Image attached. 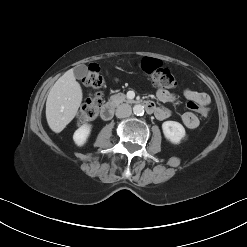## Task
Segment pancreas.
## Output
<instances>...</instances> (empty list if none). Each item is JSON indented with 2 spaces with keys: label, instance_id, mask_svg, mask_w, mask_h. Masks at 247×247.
I'll return each mask as SVG.
<instances>
[{
  "label": "pancreas",
  "instance_id": "obj_1",
  "mask_svg": "<svg viewBox=\"0 0 247 247\" xmlns=\"http://www.w3.org/2000/svg\"><path fill=\"white\" fill-rule=\"evenodd\" d=\"M110 101H111L114 105H119L120 103H123V102H129V103L132 102L131 100H127V99H126V95L123 94V93H118V94L112 95V96L110 97Z\"/></svg>",
  "mask_w": 247,
  "mask_h": 247
}]
</instances>
